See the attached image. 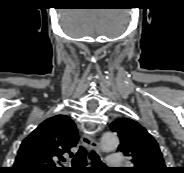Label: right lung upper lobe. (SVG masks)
Returning <instances> with one entry per match:
<instances>
[{
	"mask_svg": "<svg viewBox=\"0 0 184 173\" xmlns=\"http://www.w3.org/2000/svg\"><path fill=\"white\" fill-rule=\"evenodd\" d=\"M74 122L65 115H56L42 122L20 146L13 173H67L65 167H56L57 160L70 154L78 143Z\"/></svg>",
	"mask_w": 184,
	"mask_h": 173,
	"instance_id": "1",
	"label": "right lung upper lobe"
}]
</instances>
